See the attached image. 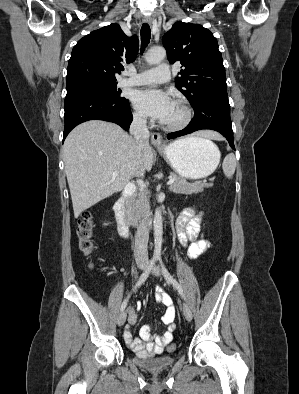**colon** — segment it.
<instances>
[{
    "mask_svg": "<svg viewBox=\"0 0 299 394\" xmlns=\"http://www.w3.org/2000/svg\"><path fill=\"white\" fill-rule=\"evenodd\" d=\"M94 231V225L92 221V217L89 213H86L83 218L79 221L78 224V237H79V247L81 251L89 255L94 250V243L92 240ZM169 350H175V345H170Z\"/></svg>",
    "mask_w": 299,
    "mask_h": 394,
    "instance_id": "5ec220e1",
    "label": "colon"
}]
</instances>
